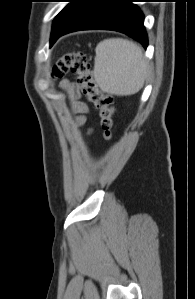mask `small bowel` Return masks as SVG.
<instances>
[{
    "label": "small bowel",
    "mask_w": 195,
    "mask_h": 299,
    "mask_svg": "<svg viewBox=\"0 0 195 299\" xmlns=\"http://www.w3.org/2000/svg\"><path fill=\"white\" fill-rule=\"evenodd\" d=\"M62 87L66 89L70 93L71 97L73 98L74 109L76 113L79 114L78 117L79 124H84L86 122V118L84 114L87 112V107L84 103L78 100L79 97L78 86L68 80H65L62 82Z\"/></svg>",
    "instance_id": "obj_1"
}]
</instances>
